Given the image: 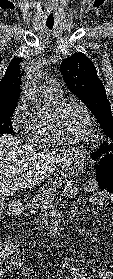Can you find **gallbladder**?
<instances>
[{
	"label": "gallbladder",
	"instance_id": "bac80fb5",
	"mask_svg": "<svg viewBox=\"0 0 113 279\" xmlns=\"http://www.w3.org/2000/svg\"><path fill=\"white\" fill-rule=\"evenodd\" d=\"M5 206H4V202L2 201L1 202V205H0V213L4 210Z\"/></svg>",
	"mask_w": 113,
	"mask_h": 279
}]
</instances>
